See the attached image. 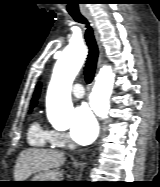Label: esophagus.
<instances>
[{
	"label": "esophagus",
	"instance_id": "obj_1",
	"mask_svg": "<svg viewBox=\"0 0 160 187\" xmlns=\"http://www.w3.org/2000/svg\"><path fill=\"white\" fill-rule=\"evenodd\" d=\"M87 19L89 20V22L91 23V25L94 29L95 38H96V41H97L99 49H100V56H99V62H98L99 66H100L102 64V61H103V51H102V46H101L99 33H98V30H97V27H96V24H95L93 18L91 16H87Z\"/></svg>",
	"mask_w": 160,
	"mask_h": 187
}]
</instances>
